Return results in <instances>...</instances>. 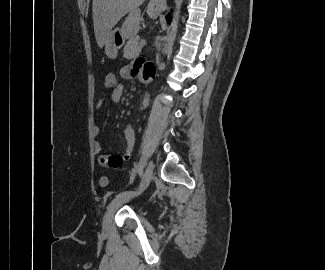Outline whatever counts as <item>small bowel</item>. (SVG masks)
<instances>
[{"instance_id": "obj_1", "label": "small bowel", "mask_w": 325, "mask_h": 270, "mask_svg": "<svg viewBox=\"0 0 325 270\" xmlns=\"http://www.w3.org/2000/svg\"><path fill=\"white\" fill-rule=\"evenodd\" d=\"M155 74V64L144 58H138L134 65L124 66L120 72V75L123 79H133L141 75L145 80H151L154 78ZM123 91V84L118 81V89L112 90L110 95L105 96L104 98L99 100L96 105V108L100 109L107 101H110L111 103H118L122 98ZM92 132L94 137H97L100 133V128L98 126H94ZM123 136L125 140V150L123 155L104 154L102 152L101 143L99 141H95L93 147L94 154L102 166L117 168L120 167L122 163L130 157L135 144L134 128L131 125L125 126L123 130Z\"/></svg>"}]
</instances>
